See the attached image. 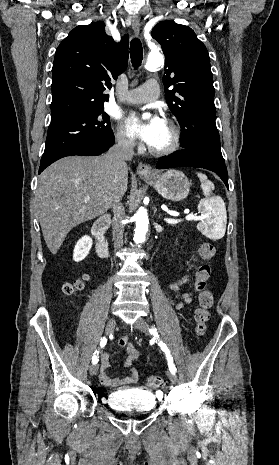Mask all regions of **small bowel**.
I'll list each match as a JSON object with an SVG mask.
<instances>
[{"instance_id": "obj_1", "label": "small bowel", "mask_w": 279, "mask_h": 465, "mask_svg": "<svg viewBox=\"0 0 279 465\" xmlns=\"http://www.w3.org/2000/svg\"><path fill=\"white\" fill-rule=\"evenodd\" d=\"M190 280H191L190 275H184L180 278L174 279L170 283V288L176 292V297L178 301L174 305L177 309H182L184 305L192 301V294L179 293L180 288L183 285H186L187 283H189ZM117 346L119 348L125 349V352H126L125 358L123 360V367L127 370V372L121 378H112L107 375L105 371L110 366V354L102 353L100 355L101 372H100L99 379L103 386L109 387V388H114V387L133 383L137 380V377H138V373L132 367V365L139 359L140 351L134 346L133 343L129 342L126 336L121 337L117 341Z\"/></svg>"}]
</instances>
